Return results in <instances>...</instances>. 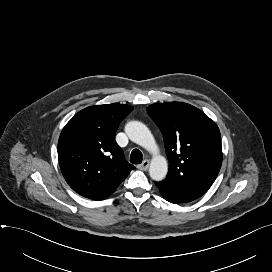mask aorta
I'll list each match as a JSON object with an SVG mask.
<instances>
[{
    "label": "aorta",
    "mask_w": 272,
    "mask_h": 272,
    "mask_svg": "<svg viewBox=\"0 0 272 272\" xmlns=\"http://www.w3.org/2000/svg\"><path fill=\"white\" fill-rule=\"evenodd\" d=\"M125 132L131 141L154 155L149 168L150 177L154 181L163 180L168 172V164L166 159L158 154V147L147 126L140 121H130L125 126Z\"/></svg>",
    "instance_id": "aorta-1"
}]
</instances>
